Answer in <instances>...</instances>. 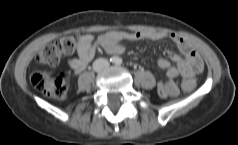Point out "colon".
<instances>
[{
	"label": "colon",
	"mask_w": 238,
	"mask_h": 145,
	"mask_svg": "<svg viewBox=\"0 0 238 145\" xmlns=\"http://www.w3.org/2000/svg\"><path fill=\"white\" fill-rule=\"evenodd\" d=\"M78 36L62 37L47 45L36 56L38 65H57L62 56L74 51L77 44ZM32 85L40 92L54 98L63 99L67 95L68 84L63 73L51 74L34 68L30 74ZM193 85L183 81L182 89L189 92L193 89Z\"/></svg>",
	"instance_id": "colon-1"
}]
</instances>
